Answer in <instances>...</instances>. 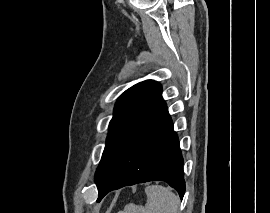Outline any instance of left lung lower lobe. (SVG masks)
I'll return each instance as SVG.
<instances>
[{
  "label": "left lung lower lobe",
  "instance_id": "0a47b994",
  "mask_svg": "<svg viewBox=\"0 0 270 213\" xmlns=\"http://www.w3.org/2000/svg\"><path fill=\"white\" fill-rule=\"evenodd\" d=\"M162 180L185 193L183 158L165 102L128 139L99 183L100 201L108 192L127 185Z\"/></svg>",
  "mask_w": 270,
  "mask_h": 213
}]
</instances>
